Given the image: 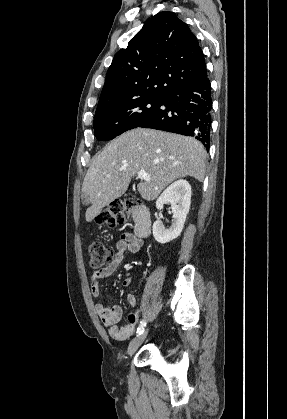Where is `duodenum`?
Here are the masks:
<instances>
[{
  "instance_id": "obj_1",
  "label": "duodenum",
  "mask_w": 287,
  "mask_h": 419,
  "mask_svg": "<svg viewBox=\"0 0 287 419\" xmlns=\"http://www.w3.org/2000/svg\"><path fill=\"white\" fill-rule=\"evenodd\" d=\"M134 232L140 239L148 237L151 232V220L148 209L143 205H137L133 209Z\"/></svg>"
}]
</instances>
